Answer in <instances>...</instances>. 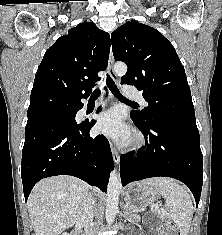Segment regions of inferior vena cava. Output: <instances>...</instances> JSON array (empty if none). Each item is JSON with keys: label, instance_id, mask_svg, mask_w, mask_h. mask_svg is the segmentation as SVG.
I'll return each mask as SVG.
<instances>
[{"label": "inferior vena cava", "instance_id": "obj_1", "mask_svg": "<svg viewBox=\"0 0 222 235\" xmlns=\"http://www.w3.org/2000/svg\"><path fill=\"white\" fill-rule=\"evenodd\" d=\"M94 203L95 202L93 198L91 197V195H89L83 215L81 216V219H80L84 225L86 235H93L91 226H92L93 217H94V212H93Z\"/></svg>", "mask_w": 222, "mask_h": 235}]
</instances>
